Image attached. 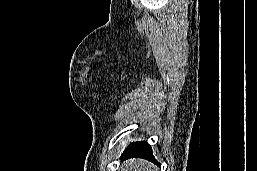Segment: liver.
Wrapping results in <instances>:
<instances>
[{
	"mask_svg": "<svg viewBox=\"0 0 257 171\" xmlns=\"http://www.w3.org/2000/svg\"><path fill=\"white\" fill-rule=\"evenodd\" d=\"M126 171H154L153 165L145 160L131 159L126 162Z\"/></svg>",
	"mask_w": 257,
	"mask_h": 171,
	"instance_id": "obj_1",
	"label": "liver"
}]
</instances>
